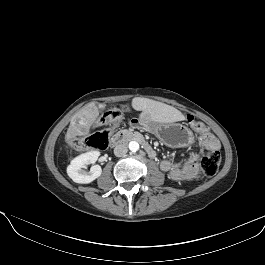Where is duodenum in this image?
<instances>
[{
  "label": "duodenum",
  "mask_w": 265,
  "mask_h": 265,
  "mask_svg": "<svg viewBox=\"0 0 265 265\" xmlns=\"http://www.w3.org/2000/svg\"><path fill=\"white\" fill-rule=\"evenodd\" d=\"M127 139H134L136 141L141 142L144 146L146 153L148 154L150 158L155 159L157 157V154L154 148L144 140L141 134L132 132L129 130H123V131L116 133L111 138L110 145L111 147H115L117 145H120L122 142H124Z\"/></svg>",
  "instance_id": "obj_1"
}]
</instances>
